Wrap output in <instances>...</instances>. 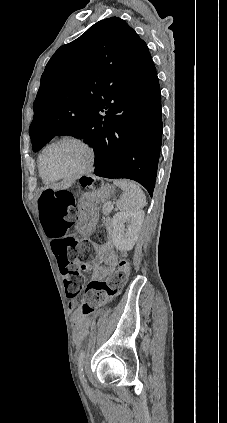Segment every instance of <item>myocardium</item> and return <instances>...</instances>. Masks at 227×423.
<instances>
[{
  "label": "myocardium",
  "mask_w": 227,
  "mask_h": 423,
  "mask_svg": "<svg viewBox=\"0 0 227 423\" xmlns=\"http://www.w3.org/2000/svg\"><path fill=\"white\" fill-rule=\"evenodd\" d=\"M65 142H73L76 144L81 145L83 148H85V150L87 151L88 154V159L87 162L85 164V166L80 169L78 172L73 173V174H54L51 173L45 165V156L48 153L49 150H51L52 148L65 143ZM96 160H97V155H96V150L95 148L84 138L79 137V136H74V135H68V136H64L52 143H50L49 145H47L41 152L40 154V168L43 172V174L52 180H66V181H74V180H78L84 176H86L87 174L91 173L94 170L95 164H96Z\"/></svg>",
  "instance_id": "f54148a6"
}]
</instances>
